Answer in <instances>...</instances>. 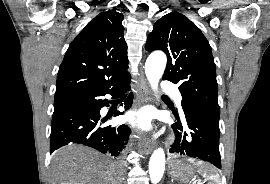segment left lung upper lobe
<instances>
[{"label":"left lung upper lobe","instance_id":"5c2ea615","mask_svg":"<svg viewBox=\"0 0 270 184\" xmlns=\"http://www.w3.org/2000/svg\"><path fill=\"white\" fill-rule=\"evenodd\" d=\"M145 49L166 53L168 61L163 79L179 84L183 109L193 107L219 118L211 47L193 22L178 12L163 16L154 24Z\"/></svg>","mask_w":270,"mask_h":184}]
</instances>
